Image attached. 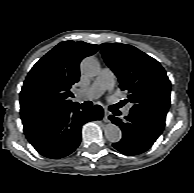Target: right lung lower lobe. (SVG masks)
I'll list each match as a JSON object with an SVG mask.
<instances>
[{"instance_id": "obj_1", "label": "right lung lower lobe", "mask_w": 194, "mask_h": 193, "mask_svg": "<svg viewBox=\"0 0 194 193\" xmlns=\"http://www.w3.org/2000/svg\"><path fill=\"white\" fill-rule=\"evenodd\" d=\"M103 109L95 105L85 109L78 103L51 112L22 119L28 141L41 155L59 159L71 154L80 144L84 123L101 120Z\"/></svg>"}]
</instances>
